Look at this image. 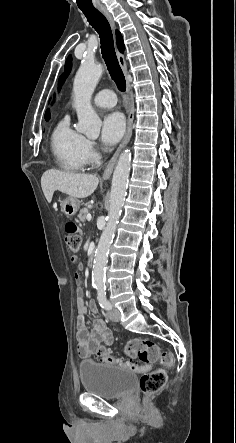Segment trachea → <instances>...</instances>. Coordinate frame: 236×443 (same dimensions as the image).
I'll return each mask as SVG.
<instances>
[{
    "label": "trachea",
    "instance_id": "trachea-1",
    "mask_svg": "<svg viewBox=\"0 0 236 443\" xmlns=\"http://www.w3.org/2000/svg\"><path fill=\"white\" fill-rule=\"evenodd\" d=\"M90 25L98 32L101 43L102 57L107 65L112 80L121 92L126 90V80L119 65L115 49L112 31L106 17L97 9H81Z\"/></svg>",
    "mask_w": 236,
    "mask_h": 443
}]
</instances>
